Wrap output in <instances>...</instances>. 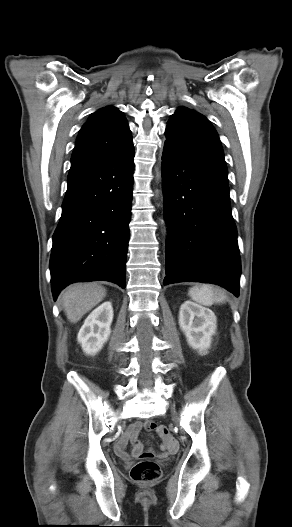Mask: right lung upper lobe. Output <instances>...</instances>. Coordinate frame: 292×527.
I'll return each instance as SVG.
<instances>
[{
	"instance_id": "right-lung-upper-lobe-1",
	"label": "right lung upper lobe",
	"mask_w": 292,
	"mask_h": 527,
	"mask_svg": "<svg viewBox=\"0 0 292 527\" xmlns=\"http://www.w3.org/2000/svg\"><path fill=\"white\" fill-rule=\"evenodd\" d=\"M133 148L132 136L122 112L112 106L93 113L79 132L71 160L105 158Z\"/></svg>"
}]
</instances>
